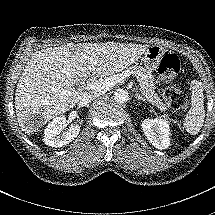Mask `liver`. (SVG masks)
<instances>
[{
  "instance_id": "1",
  "label": "liver",
  "mask_w": 215,
  "mask_h": 215,
  "mask_svg": "<svg viewBox=\"0 0 215 215\" xmlns=\"http://www.w3.org/2000/svg\"><path fill=\"white\" fill-rule=\"evenodd\" d=\"M148 46L114 41L64 44L37 50L26 63L15 91L20 129L32 135L49 120L71 110L84 92L88 75L104 77L123 71Z\"/></svg>"
}]
</instances>
